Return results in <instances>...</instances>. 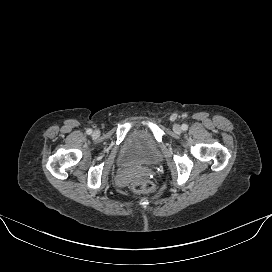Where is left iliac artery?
<instances>
[{
	"label": "left iliac artery",
	"instance_id": "1",
	"mask_svg": "<svg viewBox=\"0 0 272 272\" xmlns=\"http://www.w3.org/2000/svg\"><path fill=\"white\" fill-rule=\"evenodd\" d=\"M188 129V125L187 124H183L182 125V130L186 131Z\"/></svg>",
	"mask_w": 272,
	"mask_h": 272
}]
</instances>
